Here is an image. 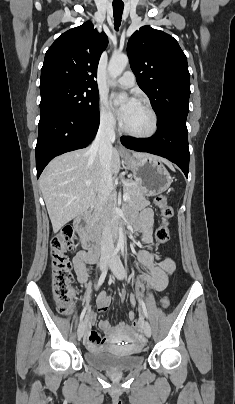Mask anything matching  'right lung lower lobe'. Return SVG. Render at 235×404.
<instances>
[{
    "label": "right lung lower lobe",
    "instance_id": "obj_1",
    "mask_svg": "<svg viewBox=\"0 0 235 404\" xmlns=\"http://www.w3.org/2000/svg\"><path fill=\"white\" fill-rule=\"evenodd\" d=\"M99 127V110L89 116L63 111L40 113L36 145L37 178L56 156L87 147Z\"/></svg>",
    "mask_w": 235,
    "mask_h": 404
}]
</instances>
